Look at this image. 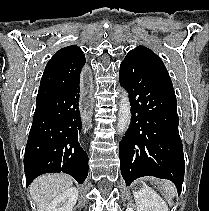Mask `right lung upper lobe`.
<instances>
[{
    "instance_id": "cb5924a9",
    "label": "right lung upper lobe",
    "mask_w": 209,
    "mask_h": 211,
    "mask_svg": "<svg viewBox=\"0 0 209 211\" xmlns=\"http://www.w3.org/2000/svg\"><path fill=\"white\" fill-rule=\"evenodd\" d=\"M85 61L83 51L76 45L57 51L45 67L36 105L78 83Z\"/></svg>"
}]
</instances>
